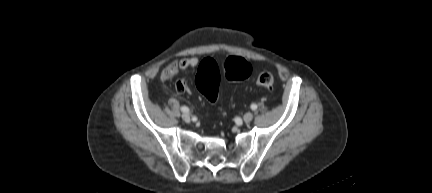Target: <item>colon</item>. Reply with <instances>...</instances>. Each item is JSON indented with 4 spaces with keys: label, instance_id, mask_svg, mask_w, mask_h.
<instances>
[{
    "label": "colon",
    "instance_id": "1",
    "mask_svg": "<svg viewBox=\"0 0 432 193\" xmlns=\"http://www.w3.org/2000/svg\"><path fill=\"white\" fill-rule=\"evenodd\" d=\"M223 75L229 80H242L250 76L252 72L251 63L239 57H229L222 67ZM175 73V65L172 64L163 72V78L169 79ZM220 69L212 59H205L199 66L196 75V86L199 91L212 103L217 99L220 82ZM257 85L271 88L274 84V76L271 72H262L258 75Z\"/></svg>",
    "mask_w": 432,
    "mask_h": 193
}]
</instances>
